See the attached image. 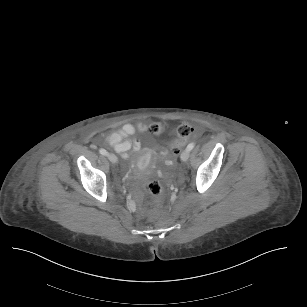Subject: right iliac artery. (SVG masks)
<instances>
[{
  "label": "right iliac artery",
  "mask_w": 307,
  "mask_h": 307,
  "mask_svg": "<svg viewBox=\"0 0 307 307\" xmlns=\"http://www.w3.org/2000/svg\"><path fill=\"white\" fill-rule=\"evenodd\" d=\"M99 152H100V154H102V155H107V151L105 150V149H99Z\"/></svg>",
  "instance_id": "82829eb1"
}]
</instances>
